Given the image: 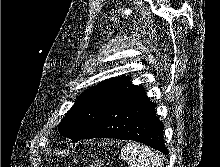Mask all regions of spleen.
Segmentation results:
<instances>
[{
    "instance_id": "spleen-1",
    "label": "spleen",
    "mask_w": 220,
    "mask_h": 167,
    "mask_svg": "<svg viewBox=\"0 0 220 167\" xmlns=\"http://www.w3.org/2000/svg\"><path fill=\"white\" fill-rule=\"evenodd\" d=\"M121 158L131 167H164L157 152L135 143H128L121 149Z\"/></svg>"
}]
</instances>
